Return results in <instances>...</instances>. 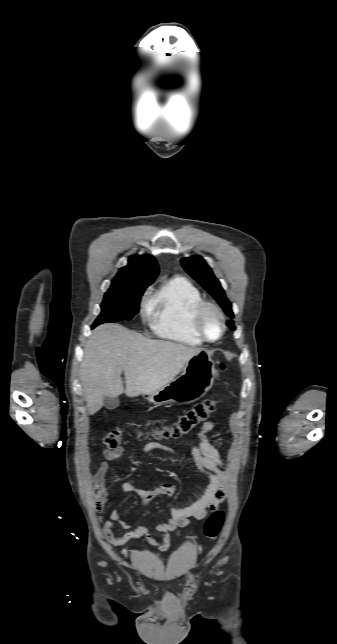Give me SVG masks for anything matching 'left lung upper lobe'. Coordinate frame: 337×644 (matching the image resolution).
I'll list each match as a JSON object with an SVG mask.
<instances>
[{"instance_id":"1","label":"left lung upper lobe","mask_w":337,"mask_h":644,"mask_svg":"<svg viewBox=\"0 0 337 644\" xmlns=\"http://www.w3.org/2000/svg\"><path fill=\"white\" fill-rule=\"evenodd\" d=\"M183 268L190 274L205 290H207L221 305L225 313L233 318L232 305L227 299L220 282L214 276L211 268L207 265L201 256H192L181 260ZM228 326L235 328L233 323L228 322Z\"/></svg>"}]
</instances>
